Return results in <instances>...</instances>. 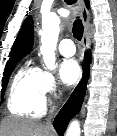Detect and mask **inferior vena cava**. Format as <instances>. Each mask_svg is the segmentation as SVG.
<instances>
[{
    "mask_svg": "<svg viewBox=\"0 0 117 136\" xmlns=\"http://www.w3.org/2000/svg\"><path fill=\"white\" fill-rule=\"evenodd\" d=\"M47 126L51 128V123H50V122H48V123H47Z\"/></svg>",
    "mask_w": 117,
    "mask_h": 136,
    "instance_id": "1",
    "label": "inferior vena cava"
}]
</instances>
